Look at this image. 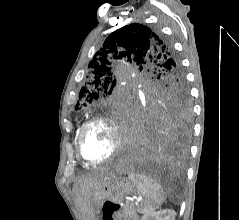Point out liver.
Masks as SVG:
<instances>
[{
    "mask_svg": "<svg viewBox=\"0 0 239 220\" xmlns=\"http://www.w3.org/2000/svg\"><path fill=\"white\" fill-rule=\"evenodd\" d=\"M112 177H114L113 173L99 176H85L74 185L77 205L84 213H89L91 211L92 191L105 186Z\"/></svg>",
    "mask_w": 239,
    "mask_h": 220,
    "instance_id": "1",
    "label": "liver"
}]
</instances>
